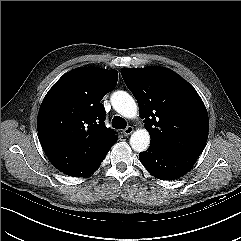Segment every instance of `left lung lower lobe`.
Segmentation results:
<instances>
[{"label": "left lung lower lobe", "instance_id": "1", "mask_svg": "<svg viewBox=\"0 0 241 241\" xmlns=\"http://www.w3.org/2000/svg\"><path fill=\"white\" fill-rule=\"evenodd\" d=\"M139 159L154 177L161 180H174L187 173L197 157L174 153L150 144L147 151L139 154Z\"/></svg>", "mask_w": 241, "mask_h": 241}]
</instances>
